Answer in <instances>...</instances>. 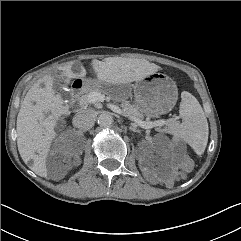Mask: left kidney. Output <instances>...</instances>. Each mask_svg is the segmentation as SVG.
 I'll list each match as a JSON object with an SVG mask.
<instances>
[{
    "instance_id": "obj_1",
    "label": "left kidney",
    "mask_w": 241,
    "mask_h": 241,
    "mask_svg": "<svg viewBox=\"0 0 241 241\" xmlns=\"http://www.w3.org/2000/svg\"><path fill=\"white\" fill-rule=\"evenodd\" d=\"M153 149H154V151H155L156 147H155L153 144H149V145H148V148L146 149L147 155H152Z\"/></svg>"
}]
</instances>
